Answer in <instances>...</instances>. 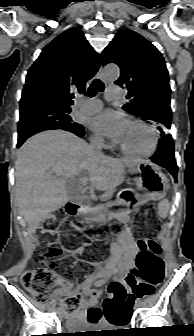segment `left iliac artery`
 Returning <instances> with one entry per match:
<instances>
[{
	"label": "left iliac artery",
	"instance_id": "44dca946",
	"mask_svg": "<svg viewBox=\"0 0 194 336\" xmlns=\"http://www.w3.org/2000/svg\"><path fill=\"white\" fill-rule=\"evenodd\" d=\"M140 302V300H136V303H139Z\"/></svg>",
	"mask_w": 194,
	"mask_h": 336
}]
</instances>
